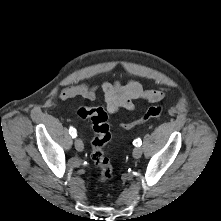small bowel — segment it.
Here are the masks:
<instances>
[{
	"mask_svg": "<svg viewBox=\"0 0 221 221\" xmlns=\"http://www.w3.org/2000/svg\"><path fill=\"white\" fill-rule=\"evenodd\" d=\"M99 87L88 83L70 85L63 88L59 98L69 100L75 97H83L94 100ZM100 89L104 96V103L109 113L115 114L120 109L133 110L136 100H146L157 102L164 97L163 89H144L143 86L134 79H129L126 83L121 81L104 82Z\"/></svg>",
	"mask_w": 221,
	"mask_h": 221,
	"instance_id": "c3829d8e",
	"label": "small bowel"
}]
</instances>
